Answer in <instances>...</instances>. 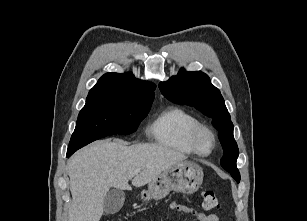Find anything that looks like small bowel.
<instances>
[{
	"instance_id": "1",
	"label": "small bowel",
	"mask_w": 307,
	"mask_h": 221,
	"mask_svg": "<svg viewBox=\"0 0 307 221\" xmlns=\"http://www.w3.org/2000/svg\"><path fill=\"white\" fill-rule=\"evenodd\" d=\"M170 209L178 213L193 215L197 221H219L218 216L215 214L205 215L204 213L197 211L192 207L175 202L170 204Z\"/></svg>"
}]
</instances>
